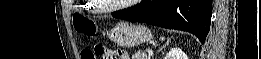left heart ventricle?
<instances>
[{"label":"left heart ventricle","mask_w":261,"mask_h":59,"mask_svg":"<svg viewBox=\"0 0 261 59\" xmlns=\"http://www.w3.org/2000/svg\"><path fill=\"white\" fill-rule=\"evenodd\" d=\"M125 2H128V1H126V0H100L99 5L101 7H110V6L120 5Z\"/></svg>","instance_id":"1"}]
</instances>
